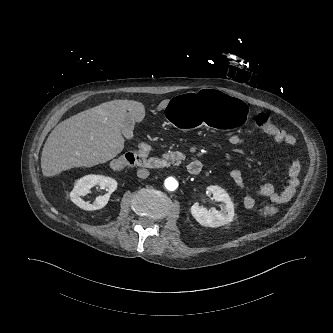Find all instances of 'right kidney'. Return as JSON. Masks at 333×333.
Wrapping results in <instances>:
<instances>
[{
    "instance_id": "1",
    "label": "right kidney",
    "mask_w": 333,
    "mask_h": 333,
    "mask_svg": "<svg viewBox=\"0 0 333 333\" xmlns=\"http://www.w3.org/2000/svg\"><path fill=\"white\" fill-rule=\"evenodd\" d=\"M100 186L102 189H107L108 193L96 198L95 202L90 204L82 200L81 196L89 193L91 187ZM117 188V182L103 175L90 174L86 175L75 183L73 190L70 193V198L73 203L83 210L92 211L103 208L109 200L110 194Z\"/></svg>"
}]
</instances>
